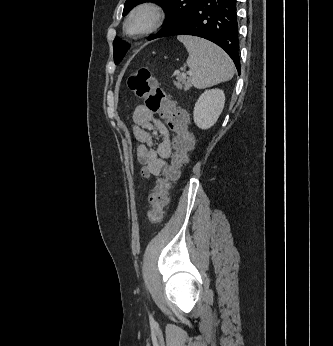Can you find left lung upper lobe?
<instances>
[{
    "label": "left lung upper lobe",
    "instance_id": "left-lung-upper-lobe-1",
    "mask_svg": "<svg viewBox=\"0 0 333 346\" xmlns=\"http://www.w3.org/2000/svg\"><path fill=\"white\" fill-rule=\"evenodd\" d=\"M152 1L160 4L166 13L165 25L164 27L156 34L150 36L148 39L158 38L162 33H164L167 29L178 23L181 19H183L188 10L196 3L197 0H126L123 10V15H126L133 7L136 5ZM128 44L115 38L113 42L114 47V61L118 64L128 50Z\"/></svg>",
    "mask_w": 333,
    "mask_h": 346
}]
</instances>
